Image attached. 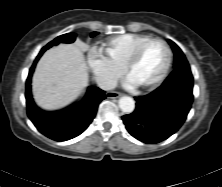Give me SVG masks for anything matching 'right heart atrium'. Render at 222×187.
Listing matches in <instances>:
<instances>
[{"label":"right heart atrium","instance_id":"obj_1","mask_svg":"<svg viewBox=\"0 0 222 187\" xmlns=\"http://www.w3.org/2000/svg\"><path fill=\"white\" fill-rule=\"evenodd\" d=\"M88 64L97 83L103 88L111 87L119 78L122 69L96 49L88 53Z\"/></svg>","mask_w":222,"mask_h":187}]
</instances>
